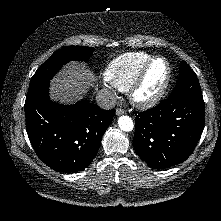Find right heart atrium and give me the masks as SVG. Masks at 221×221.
Segmentation results:
<instances>
[{
  "label": "right heart atrium",
  "mask_w": 221,
  "mask_h": 221,
  "mask_svg": "<svg viewBox=\"0 0 221 221\" xmlns=\"http://www.w3.org/2000/svg\"><path fill=\"white\" fill-rule=\"evenodd\" d=\"M105 86H106V88H107L109 91L113 92V89H112V87H111L109 84L106 83Z\"/></svg>",
  "instance_id": "right-heart-atrium-1"
}]
</instances>
